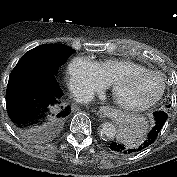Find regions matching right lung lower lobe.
Returning a JSON list of instances; mask_svg holds the SVG:
<instances>
[{"instance_id": "right-lung-lower-lobe-1", "label": "right lung lower lobe", "mask_w": 177, "mask_h": 177, "mask_svg": "<svg viewBox=\"0 0 177 177\" xmlns=\"http://www.w3.org/2000/svg\"><path fill=\"white\" fill-rule=\"evenodd\" d=\"M63 92L56 72L45 65L25 60L16 65L9 77L6 106L13 124L29 129L46 122L53 130L69 115V107L61 106Z\"/></svg>"}]
</instances>
